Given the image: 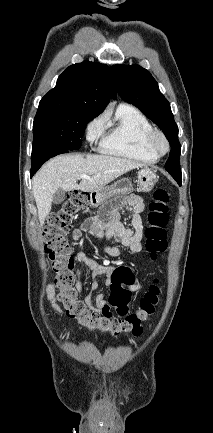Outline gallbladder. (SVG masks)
Returning a JSON list of instances; mask_svg holds the SVG:
<instances>
[{
    "label": "gallbladder",
    "mask_w": 213,
    "mask_h": 433,
    "mask_svg": "<svg viewBox=\"0 0 213 433\" xmlns=\"http://www.w3.org/2000/svg\"><path fill=\"white\" fill-rule=\"evenodd\" d=\"M64 199H65V191L60 188L54 193L52 202L53 204L57 205L62 203Z\"/></svg>",
    "instance_id": "obj_1"
}]
</instances>
